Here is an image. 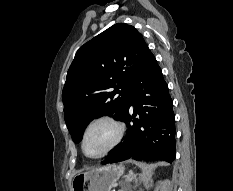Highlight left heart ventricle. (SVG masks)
Here are the masks:
<instances>
[{
    "mask_svg": "<svg viewBox=\"0 0 233 191\" xmlns=\"http://www.w3.org/2000/svg\"><path fill=\"white\" fill-rule=\"evenodd\" d=\"M115 136L114 128L108 123H98L92 126L85 140V149L89 155L101 154L112 142Z\"/></svg>",
    "mask_w": 233,
    "mask_h": 191,
    "instance_id": "1",
    "label": "left heart ventricle"
}]
</instances>
